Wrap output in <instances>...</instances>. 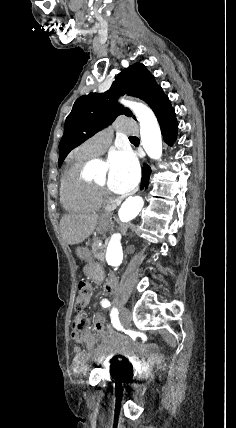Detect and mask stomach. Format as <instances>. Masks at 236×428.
<instances>
[{"label": "stomach", "instance_id": "stomach-1", "mask_svg": "<svg viewBox=\"0 0 236 428\" xmlns=\"http://www.w3.org/2000/svg\"><path fill=\"white\" fill-rule=\"evenodd\" d=\"M76 254L79 258H83V260H89L86 262L84 278L89 279V282L93 283L94 286H99L100 283H103L105 273L102 268V263L92 260L90 250H88V248H77Z\"/></svg>", "mask_w": 236, "mask_h": 428}]
</instances>
